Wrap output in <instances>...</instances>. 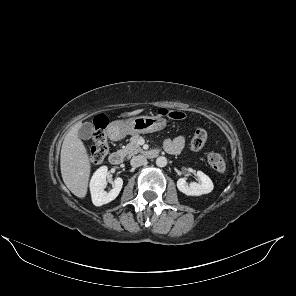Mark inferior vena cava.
<instances>
[{
	"mask_svg": "<svg viewBox=\"0 0 296 296\" xmlns=\"http://www.w3.org/2000/svg\"><path fill=\"white\" fill-rule=\"evenodd\" d=\"M147 162V159L143 156V155H137L134 156L131 160H130V164L133 167H139L144 165Z\"/></svg>",
	"mask_w": 296,
	"mask_h": 296,
	"instance_id": "602c4592",
	"label": "inferior vena cava"
}]
</instances>
